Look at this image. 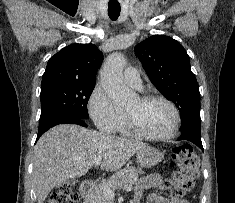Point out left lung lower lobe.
<instances>
[{
  "mask_svg": "<svg viewBox=\"0 0 235 203\" xmlns=\"http://www.w3.org/2000/svg\"><path fill=\"white\" fill-rule=\"evenodd\" d=\"M177 140H187L195 145H197L202 151H203V146L201 142V133H196V132H183L181 133V136Z\"/></svg>",
  "mask_w": 235,
  "mask_h": 203,
  "instance_id": "1",
  "label": "left lung lower lobe"
}]
</instances>
